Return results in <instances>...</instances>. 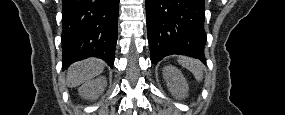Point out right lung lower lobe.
Returning a JSON list of instances; mask_svg holds the SVG:
<instances>
[{
  "mask_svg": "<svg viewBox=\"0 0 285 115\" xmlns=\"http://www.w3.org/2000/svg\"><path fill=\"white\" fill-rule=\"evenodd\" d=\"M119 0H63V69L88 58L114 64Z\"/></svg>",
  "mask_w": 285,
  "mask_h": 115,
  "instance_id": "1",
  "label": "right lung lower lobe"
}]
</instances>
